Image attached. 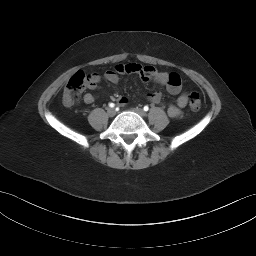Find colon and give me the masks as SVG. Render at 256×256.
I'll return each instance as SVG.
<instances>
[{
	"mask_svg": "<svg viewBox=\"0 0 256 256\" xmlns=\"http://www.w3.org/2000/svg\"><path fill=\"white\" fill-rule=\"evenodd\" d=\"M93 74L77 72L69 79L62 96V101L65 105L70 106L77 101L82 91L90 84ZM189 106L194 111L201 108L202 97L200 93L192 92L190 94Z\"/></svg>",
	"mask_w": 256,
	"mask_h": 256,
	"instance_id": "1",
	"label": "colon"
}]
</instances>
